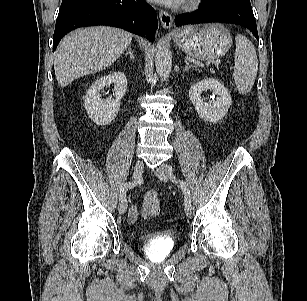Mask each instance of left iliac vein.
<instances>
[{
  "instance_id": "obj_1",
  "label": "left iliac vein",
  "mask_w": 307,
  "mask_h": 301,
  "mask_svg": "<svg viewBox=\"0 0 307 301\" xmlns=\"http://www.w3.org/2000/svg\"><path fill=\"white\" fill-rule=\"evenodd\" d=\"M156 176L161 179L162 181H168L173 174V168L167 164L162 163L160 166L155 170ZM185 214L187 217H192L194 214V207L191 203L185 204Z\"/></svg>"
}]
</instances>
